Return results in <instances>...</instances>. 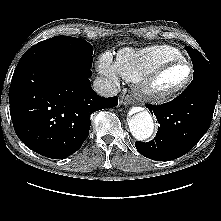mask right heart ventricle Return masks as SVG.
I'll use <instances>...</instances> for the list:
<instances>
[{
  "mask_svg": "<svg viewBox=\"0 0 221 221\" xmlns=\"http://www.w3.org/2000/svg\"><path fill=\"white\" fill-rule=\"evenodd\" d=\"M182 59H184L182 52L168 45H156L142 49L125 48L117 54L115 67L124 80L137 82L159 66Z\"/></svg>",
  "mask_w": 221,
  "mask_h": 221,
  "instance_id": "obj_1",
  "label": "right heart ventricle"
}]
</instances>
